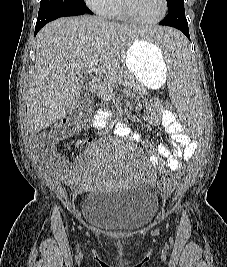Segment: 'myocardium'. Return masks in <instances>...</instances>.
Masks as SVG:
<instances>
[{
  "label": "myocardium",
  "instance_id": "obj_1",
  "mask_svg": "<svg viewBox=\"0 0 227 267\" xmlns=\"http://www.w3.org/2000/svg\"><path fill=\"white\" fill-rule=\"evenodd\" d=\"M117 2H118L119 11L125 19L133 23L143 24V25H151V24L159 23L166 16L167 10H168V1L162 0V11L160 15L156 17L155 19L144 20V19L137 17L131 11L128 5V0H117Z\"/></svg>",
  "mask_w": 227,
  "mask_h": 267
}]
</instances>
